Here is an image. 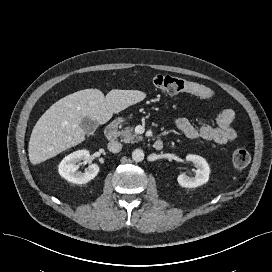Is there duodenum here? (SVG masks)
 Here are the masks:
<instances>
[{
    "label": "duodenum",
    "instance_id": "410a0bca",
    "mask_svg": "<svg viewBox=\"0 0 272 272\" xmlns=\"http://www.w3.org/2000/svg\"><path fill=\"white\" fill-rule=\"evenodd\" d=\"M119 121L111 122L105 132L106 139L108 141H114L117 138L118 134ZM153 148L155 150H161L163 148V142L160 139H157L153 142Z\"/></svg>",
    "mask_w": 272,
    "mask_h": 272
}]
</instances>
